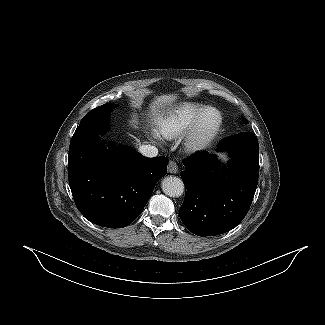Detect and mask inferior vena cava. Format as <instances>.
I'll return each mask as SVG.
<instances>
[{
  "instance_id": "obj_1",
  "label": "inferior vena cava",
  "mask_w": 325,
  "mask_h": 325,
  "mask_svg": "<svg viewBox=\"0 0 325 325\" xmlns=\"http://www.w3.org/2000/svg\"><path fill=\"white\" fill-rule=\"evenodd\" d=\"M139 152L145 157H155L158 155V149L151 145H141Z\"/></svg>"
}]
</instances>
